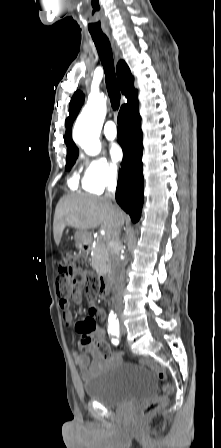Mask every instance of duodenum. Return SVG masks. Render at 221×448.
I'll return each mask as SVG.
<instances>
[{"label": "duodenum", "mask_w": 221, "mask_h": 448, "mask_svg": "<svg viewBox=\"0 0 221 448\" xmlns=\"http://www.w3.org/2000/svg\"><path fill=\"white\" fill-rule=\"evenodd\" d=\"M88 241L84 242L83 247L86 248ZM98 287L101 294L106 295L108 292V274L101 273L98 275Z\"/></svg>", "instance_id": "obj_1"}]
</instances>
